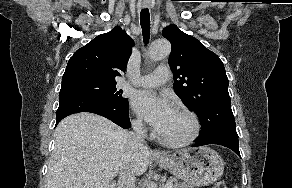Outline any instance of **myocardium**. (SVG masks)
<instances>
[{
    "label": "myocardium",
    "mask_w": 292,
    "mask_h": 188,
    "mask_svg": "<svg viewBox=\"0 0 292 188\" xmlns=\"http://www.w3.org/2000/svg\"><path fill=\"white\" fill-rule=\"evenodd\" d=\"M175 110L186 115L190 119L192 123L191 133L188 136L181 139H169L159 134L158 139L164 145H167L170 147H183V146L193 143L198 138L201 132V123L198 116L193 111L189 110L188 108L184 106H178Z\"/></svg>",
    "instance_id": "myocardium-1"
}]
</instances>
